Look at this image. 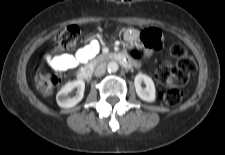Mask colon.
Returning <instances> with one entry per match:
<instances>
[{"label":"colon","instance_id":"5ec220e1","mask_svg":"<svg viewBox=\"0 0 225 155\" xmlns=\"http://www.w3.org/2000/svg\"><path fill=\"white\" fill-rule=\"evenodd\" d=\"M79 37L80 29L75 25L68 26L54 37L55 48L59 51L72 50ZM140 40L144 47L155 49L161 44L162 33L157 29L148 28L142 31ZM170 53L177 59L176 63L163 62L157 69L156 78L160 84L167 87L165 91L159 93V99L168 106H175L182 99L181 88L188 83L190 77L196 72L197 66L180 43H174L170 47ZM129 54L136 63L144 58L141 49L137 46L132 47ZM60 82L61 78L57 74H39L36 77L37 88L42 94L51 93Z\"/></svg>","mask_w":225,"mask_h":155}]
</instances>
